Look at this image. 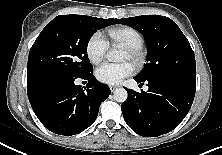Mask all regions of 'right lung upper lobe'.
<instances>
[{"instance_id":"obj_1","label":"right lung upper lobe","mask_w":222,"mask_h":155,"mask_svg":"<svg viewBox=\"0 0 222 155\" xmlns=\"http://www.w3.org/2000/svg\"><path fill=\"white\" fill-rule=\"evenodd\" d=\"M42 89H33V90H29L28 92V96H33L35 94H37L38 92H40Z\"/></svg>"}]
</instances>
